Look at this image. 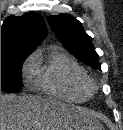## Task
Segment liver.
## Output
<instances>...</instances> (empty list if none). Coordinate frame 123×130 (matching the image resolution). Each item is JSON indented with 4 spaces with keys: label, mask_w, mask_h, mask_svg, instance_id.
<instances>
[{
    "label": "liver",
    "mask_w": 123,
    "mask_h": 130,
    "mask_svg": "<svg viewBox=\"0 0 123 130\" xmlns=\"http://www.w3.org/2000/svg\"><path fill=\"white\" fill-rule=\"evenodd\" d=\"M89 111L32 95H1V130H98Z\"/></svg>",
    "instance_id": "liver-1"
}]
</instances>
